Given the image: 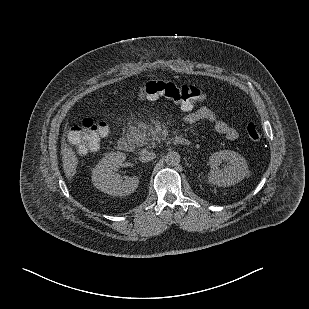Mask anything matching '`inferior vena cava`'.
Returning <instances> with one entry per match:
<instances>
[{
	"instance_id": "602c4592",
	"label": "inferior vena cava",
	"mask_w": 309,
	"mask_h": 309,
	"mask_svg": "<svg viewBox=\"0 0 309 309\" xmlns=\"http://www.w3.org/2000/svg\"><path fill=\"white\" fill-rule=\"evenodd\" d=\"M156 158V154L152 151L143 150L140 152L139 160L143 163L152 161Z\"/></svg>"
}]
</instances>
